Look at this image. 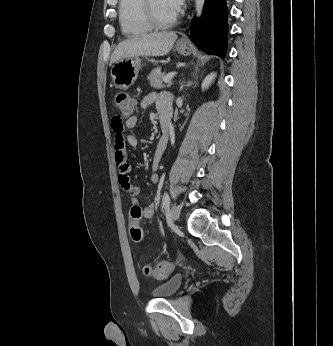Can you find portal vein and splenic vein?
Returning <instances> with one entry per match:
<instances>
[{
	"label": "portal vein and splenic vein",
	"mask_w": 333,
	"mask_h": 346,
	"mask_svg": "<svg viewBox=\"0 0 333 346\" xmlns=\"http://www.w3.org/2000/svg\"><path fill=\"white\" fill-rule=\"evenodd\" d=\"M175 75H176V72L169 73V74H167V75L164 77L163 81H164L165 83H168V82H170V81L173 79V77H174Z\"/></svg>",
	"instance_id": "obj_1"
}]
</instances>
